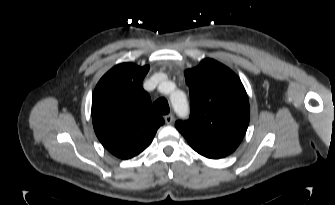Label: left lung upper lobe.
Returning <instances> with one entry per match:
<instances>
[{
	"instance_id": "1",
	"label": "left lung upper lobe",
	"mask_w": 335,
	"mask_h": 205,
	"mask_svg": "<svg viewBox=\"0 0 335 205\" xmlns=\"http://www.w3.org/2000/svg\"><path fill=\"white\" fill-rule=\"evenodd\" d=\"M190 92L189 120L176 128L190 146L231 154L243 139L250 119L247 93L238 76L213 59L185 71Z\"/></svg>"
}]
</instances>
